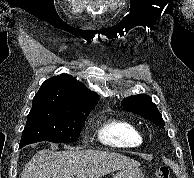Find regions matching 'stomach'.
<instances>
[{
    "instance_id": "obj_1",
    "label": "stomach",
    "mask_w": 194,
    "mask_h": 178,
    "mask_svg": "<svg viewBox=\"0 0 194 178\" xmlns=\"http://www.w3.org/2000/svg\"><path fill=\"white\" fill-rule=\"evenodd\" d=\"M113 178H144V176L140 169L131 168L120 170Z\"/></svg>"
}]
</instances>
